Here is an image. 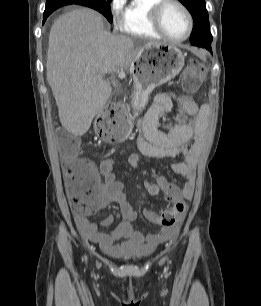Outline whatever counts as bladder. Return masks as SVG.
<instances>
[{"mask_svg": "<svg viewBox=\"0 0 261 306\" xmlns=\"http://www.w3.org/2000/svg\"><path fill=\"white\" fill-rule=\"evenodd\" d=\"M122 258L130 262H136L142 260L144 256L135 253H128L122 255Z\"/></svg>", "mask_w": 261, "mask_h": 306, "instance_id": "31cf9c89", "label": "bladder"}]
</instances>
